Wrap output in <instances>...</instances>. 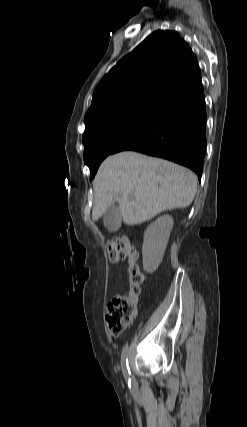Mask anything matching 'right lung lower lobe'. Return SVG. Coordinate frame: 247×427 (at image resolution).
Masks as SVG:
<instances>
[{
	"label": "right lung lower lobe",
	"instance_id": "obj_1",
	"mask_svg": "<svg viewBox=\"0 0 247 427\" xmlns=\"http://www.w3.org/2000/svg\"><path fill=\"white\" fill-rule=\"evenodd\" d=\"M124 150L186 166L200 181L206 153V105L201 78L167 97L113 153Z\"/></svg>",
	"mask_w": 247,
	"mask_h": 427
}]
</instances>
